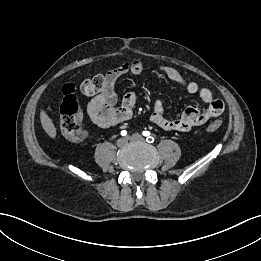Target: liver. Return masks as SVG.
<instances>
[{"instance_id":"1","label":"liver","mask_w":261,"mask_h":261,"mask_svg":"<svg viewBox=\"0 0 261 261\" xmlns=\"http://www.w3.org/2000/svg\"><path fill=\"white\" fill-rule=\"evenodd\" d=\"M40 121H41L42 128L47 133V135L50 138L54 139L56 137V128L51 118L46 114L44 110L40 111Z\"/></svg>"}]
</instances>
